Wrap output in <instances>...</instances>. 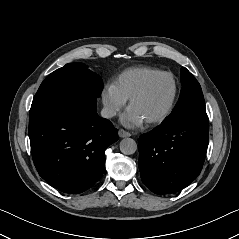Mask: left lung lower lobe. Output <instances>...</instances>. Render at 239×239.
I'll return each instance as SVG.
<instances>
[{"label": "left lung lower lobe", "mask_w": 239, "mask_h": 239, "mask_svg": "<svg viewBox=\"0 0 239 239\" xmlns=\"http://www.w3.org/2000/svg\"><path fill=\"white\" fill-rule=\"evenodd\" d=\"M208 133L206 111L192 110L143 134L138 164L143 183L155 194L187 187L202 169Z\"/></svg>", "instance_id": "0a47b994"}]
</instances>
